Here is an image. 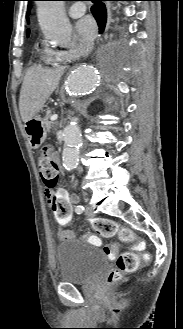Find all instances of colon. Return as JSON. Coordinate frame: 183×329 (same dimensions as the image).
Wrapping results in <instances>:
<instances>
[{
    "label": "colon",
    "mask_w": 183,
    "mask_h": 329,
    "mask_svg": "<svg viewBox=\"0 0 183 329\" xmlns=\"http://www.w3.org/2000/svg\"><path fill=\"white\" fill-rule=\"evenodd\" d=\"M39 170L46 188L50 191L54 189L58 183L59 169L49 147H46L42 151L39 159ZM92 225L100 237L112 238L118 235L122 242L131 244L135 251L143 252L145 249V243L142 240L135 237L130 230L120 228L119 225L112 220L96 218L93 220ZM104 251L107 256L116 259L115 269L110 271L107 276L106 282L108 285L116 284L123 274L133 272L138 267L140 258L133 252H125L117 255L116 245L105 246ZM143 258L147 259L148 255L144 254Z\"/></svg>",
    "instance_id": "1"
}]
</instances>
